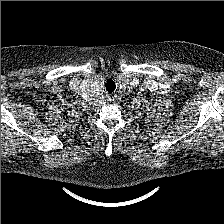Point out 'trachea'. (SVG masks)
Segmentation results:
<instances>
[{"mask_svg": "<svg viewBox=\"0 0 224 224\" xmlns=\"http://www.w3.org/2000/svg\"><path fill=\"white\" fill-rule=\"evenodd\" d=\"M105 88L106 90L109 92V93H112L115 91V88H116V85H115V82L113 80H108L106 85H105Z\"/></svg>", "mask_w": 224, "mask_h": 224, "instance_id": "1", "label": "trachea"}]
</instances>
